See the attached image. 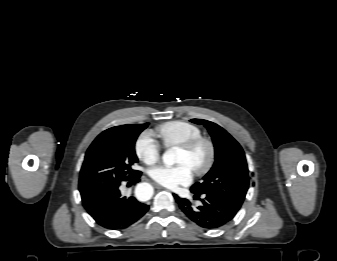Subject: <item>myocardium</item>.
Returning <instances> with one entry per match:
<instances>
[{
    "label": "myocardium",
    "instance_id": "obj_1",
    "mask_svg": "<svg viewBox=\"0 0 337 261\" xmlns=\"http://www.w3.org/2000/svg\"><path fill=\"white\" fill-rule=\"evenodd\" d=\"M202 145H205L208 149L207 160L202 166L192 169L194 173L199 176L207 174L214 166L216 160V147L214 142L208 137L198 136L179 145L180 149H183L184 151L189 153L195 151L198 147Z\"/></svg>",
    "mask_w": 337,
    "mask_h": 261
}]
</instances>
